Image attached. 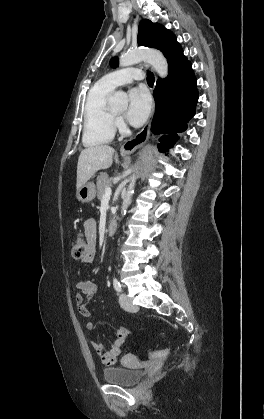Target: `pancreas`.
Returning a JSON list of instances; mask_svg holds the SVG:
<instances>
[{
    "label": "pancreas",
    "mask_w": 264,
    "mask_h": 419,
    "mask_svg": "<svg viewBox=\"0 0 264 419\" xmlns=\"http://www.w3.org/2000/svg\"><path fill=\"white\" fill-rule=\"evenodd\" d=\"M97 196L99 199H102L105 194V189L111 187V181L109 176L105 172L99 173L97 176Z\"/></svg>",
    "instance_id": "1"
}]
</instances>
